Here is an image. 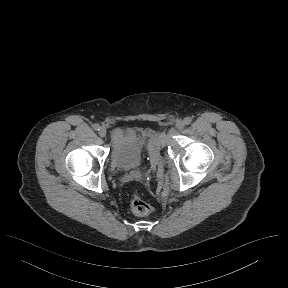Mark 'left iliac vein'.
Here are the masks:
<instances>
[{
	"instance_id": "obj_1",
	"label": "left iliac vein",
	"mask_w": 288,
	"mask_h": 288,
	"mask_svg": "<svg viewBox=\"0 0 288 288\" xmlns=\"http://www.w3.org/2000/svg\"><path fill=\"white\" fill-rule=\"evenodd\" d=\"M184 121H182V120H179V121H177L176 122V128L178 129V130H181V129H183L184 128Z\"/></svg>"
}]
</instances>
